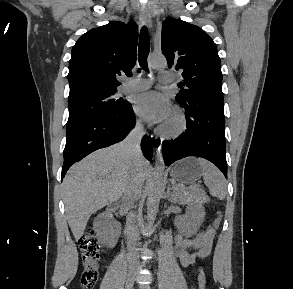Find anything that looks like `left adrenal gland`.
<instances>
[{
    "mask_svg": "<svg viewBox=\"0 0 293 289\" xmlns=\"http://www.w3.org/2000/svg\"><path fill=\"white\" fill-rule=\"evenodd\" d=\"M167 196H168V200L171 201V199L169 198V196H170V187H168V190H167ZM171 202H172V201H171Z\"/></svg>",
    "mask_w": 293,
    "mask_h": 289,
    "instance_id": "a2214340",
    "label": "left adrenal gland"
}]
</instances>
